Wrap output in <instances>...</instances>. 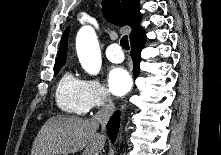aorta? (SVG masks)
Listing matches in <instances>:
<instances>
[{
	"instance_id": "762f6f07",
	"label": "aorta",
	"mask_w": 221,
	"mask_h": 155,
	"mask_svg": "<svg viewBox=\"0 0 221 155\" xmlns=\"http://www.w3.org/2000/svg\"><path fill=\"white\" fill-rule=\"evenodd\" d=\"M76 49L84 70L91 75H97L101 68L102 58L96 33L91 26H84L79 30Z\"/></svg>"
}]
</instances>
